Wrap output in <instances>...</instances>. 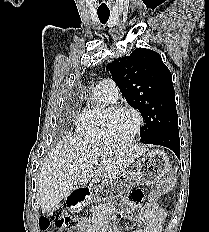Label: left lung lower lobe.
Masks as SVG:
<instances>
[{"label":"left lung lower lobe","mask_w":209,"mask_h":232,"mask_svg":"<svg viewBox=\"0 0 209 232\" xmlns=\"http://www.w3.org/2000/svg\"><path fill=\"white\" fill-rule=\"evenodd\" d=\"M152 144L167 147L180 156V139L178 127L168 128L161 132L153 141Z\"/></svg>","instance_id":"0a47b994"}]
</instances>
